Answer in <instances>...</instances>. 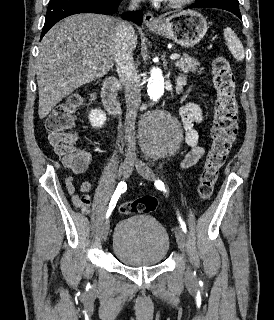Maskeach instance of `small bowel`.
<instances>
[{
	"label": "small bowel",
	"instance_id": "1",
	"mask_svg": "<svg viewBox=\"0 0 274 320\" xmlns=\"http://www.w3.org/2000/svg\"><path fill=\"white\" fill-rule=\"evenodd\" d=\"M184 84L185 77H180L177 81L178 92H181ZM180 118L184 130L185 143L190 147V151L186 154L181 162V167L188 169L198 163V161H200L205 154L204 148L199 145V133L196 129V126L201 124L203 121L202 110L197 104L188 103L182 107L180 111ZM80 161H86L87 167L72 168L75 173L85 172L93 164V157L89 153L83 151ZM92 186L93 185L91 181H83L80 185L81 195L71 198L73 205L86 214H88L91 209L90 191L92 190Z\"/></svg>",
	"mask_w": 274,
	"mask_h": 320
}]
</instances>
